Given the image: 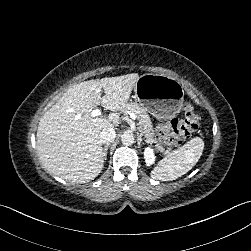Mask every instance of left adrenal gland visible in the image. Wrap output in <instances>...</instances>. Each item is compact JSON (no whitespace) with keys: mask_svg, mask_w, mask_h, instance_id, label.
<instances>
[{"mask_svg":"<svg viewBox=\"0 0 251 251\" xmlns=\"http://www.w3.org/2000/svg\"><path fill=\"white\" fill-rule=\"evenodd\" d=\"M142 140H143L142 139V134L141 133H137V144H138V147H140Z\"/></svg>","mask_w":251,"mask_h":251,"instance_id":"left-adrenal-gland-1","label":"left adrenal gland"}]
</instances>
